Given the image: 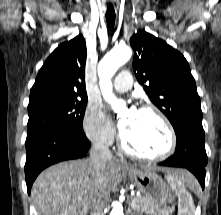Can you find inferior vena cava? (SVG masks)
<instances>
[{"instance_id": "inferior-vena-cava-1", "label": "inferior vena cava", "mask_w": 221, "mask_h": 215, "mask_svg": "<svg viewBox=\"0 0 221 215\" xmlns=\"http://www.w3.org/2000/svg\"><path fill=\"white\" fill-rule=\"evenodd\" d=\"M113 158L109 146L104 143L96 142L93 144L90 151L89 161L93 165L94 172L99 178L103 177L106 164ZM106 198L102 189L98 190L94 195L91 206L90 215H104V208L106 206Z\"/></svg>"}]
</instances>
